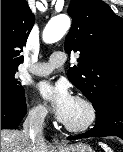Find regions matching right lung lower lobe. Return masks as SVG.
Returning a JSON list of instances; mask_svg holds the SVG:
<instances>
[{"label":"right lung lower lobe","mask_w":123,"mask_h":152,"mask_svg":"<svg viewBox=\"0 0 123 152\" xmlns=\"http://www.w3.org/2000/svg\"><path fill=\"white\" fill-rule=\"evenodd\" d=\"M26 113L25 100L20 103L1 101V129H15Z\"/></svg>","instance_id":"obj_1"}]
</instances>
